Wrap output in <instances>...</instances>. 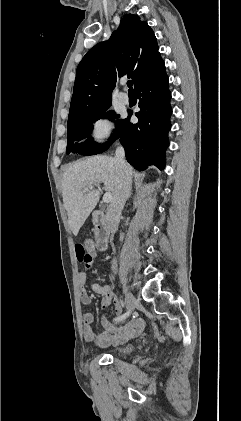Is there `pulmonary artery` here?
Returning a JSON list of instances; mask_svg holds the SVG:
<instances>
[{"instance_id": "e3ab8cb5", "label": "pulmonary artery", "mask_w": 241, "mask_h": 421, "mask_svg": "<svg viewBox=\"0 0 241 421\" xmlns=\"http://www.w3.org/2000/svg\"><path fill=\"white\" fill-rule=\"evenodd\" d=\"M118 100H119V101H120V103H122V104H128V103H129V96H128L126 93L121 92V93L118 95Z\"/></svg>"}]
</instances>
